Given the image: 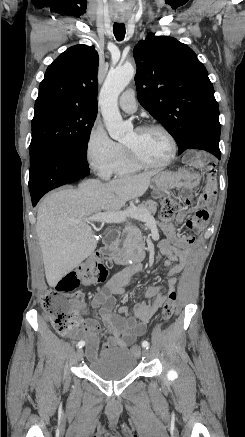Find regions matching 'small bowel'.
I'll return each mask as SVG.
<instances>
[{
	"label": "small bowel",
	"mask_w": 245,
	"mask_h": 437,
	"mask_svg": "<svg viewBox=\"0 0 245 437\" xmlns=\"http://www.w3.org/2000/svg\"><path fill=\"white\" fill-rule=\"evenodd\" d=\"M185 155L191 171H203L210 178L214 176L217 166L214 159H211L210 154H204L203 150H187ZM197 183L198 179H195L193 184ZM184 198L189 202L192 199L191 191H186ZM210 198L211 192H205L202 202L204 207L209 208ZM184 218L185 211L181 210L178 213V221L181 222ZM208 219V209H199L195 216L187 221V228L201 230L206 226ZM161 227L166 238L159 242V248L160 252L165 256L164 266L169 268L167 286L169 290H172L178 284L175 275L183 270L189 248L195 240L191 235L178 234L176 228L167 221H163ZM175 262L176 264H174ZM123 284L118 278L113 277L94 295L92 300V306L98 308L99 315L109 334L107 342L102 346L103 352L113 348H126L130 342L143 335L147 324L168 296L163 285H152L146 290V300L135 302L132 306H122L117 313H113L112 309L115 305L114 295L122 293ZM79 310L81 312L84 311L82 307ZM98 332L99 325L97 321L86 319L81 330H77L75 334L67 336L85 338L87 342L86 356L93 360L98 355Z\"/></svg>",
	"instance_id": "1"
}]
</instances>
